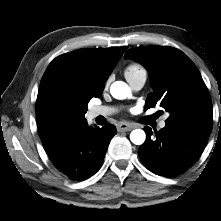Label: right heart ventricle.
Listing matches in <instances>:
<instances>
[{"mask_svg":"<svg viewBox=\"0 0 221 221\" xmlns=\"http://www.w3.org/2000/svg\"><path fill=\"white\" fill-rule=\"evenodd\" d=\"M141 71H144L139 65L137 64H132L130 66L127 67L125 74L126 75H130L133 76Z\"/></svg>","mask_w":221,"mask_h":221,"instance_id":"e07e8e85","label":"right heart ventricle"}]
</instances>
